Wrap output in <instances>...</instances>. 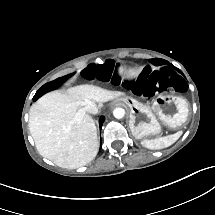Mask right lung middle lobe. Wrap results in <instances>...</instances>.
<instances>
[{"mask_svg":"<svg viewBox=\"0 0 215 215\" xmlns=\"http://www.w3.org/2000/svg\"><path fill=\"white\" fill-rule=\"evenodd\" d=\"M73 74H69L63 77H60L54 81H51L49 83H46L45 85H43L35 94L34 96V100H37L38 98H40L42 95H44L45 93L57 88L58 86H60L65 80H67L69 77H71Z\"/></svg>","mask_w":215,"mask_h":215,"instance_id":"right-lung-middle-lobe-1","label":"right lung middle lobe"}]
</instances>
